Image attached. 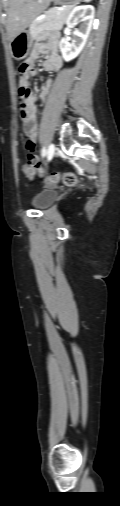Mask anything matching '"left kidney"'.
I'll return each mask as SVG.
<instances>
[{
	"mask_svg": "<svg viewBox=\"0 0 120 506\" xmlns=\"http://www.w3.org/2000/svg\"><path fill=\"white\" fill-rule=\"evenodd\" d=\"M94 12V7L91 5L77 6L70 12L66 20L67 27L64 30L65 37L59 43V48L65 61L68 62L76 58L83 50L92 28ZM79 19L82 21L80 28L73 32L72 42L69 43L67 36Z\"/></svg>",
	"mask_w": 120,
	"mask_h": 506,
	"instance_id": "1",
	"label": "left kidney"
}]
</instances>
